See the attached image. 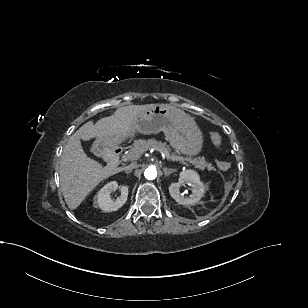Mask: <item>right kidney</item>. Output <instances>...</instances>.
I'll return each mask as SVG.
<instances>
[{"instance_id": "1", "label": "right kidney", "mask_w": 308, "mask_h": 308, "mask_svg": "<svg viewBox=\"0 0 308 308\" xmlns=\"http://www.w3.org/2000/svg\"><path fill=\"white\" fill-rule=\"evenodd\" d=\"M118 188L121 191V195L115 201H112L110 198V193L116 191ZM128 191L129 189L127 185L118 186L116 181H112L100 189L96 195V203L102 211H116L125 204L128 197Z\"/></svg>"}]
</instances>
